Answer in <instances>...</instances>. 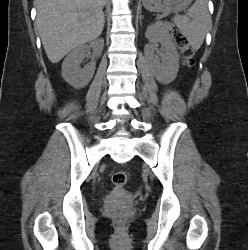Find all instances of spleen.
Here are the masks:
<instances>
[{"label":"spleen","mask_w":248,"mask_h":250,"mask_svg":"<svg viewBox=\"0 0 248 250\" xmlns=\"http://www.w3.org/2000/svg\"><path fill=\"white\" fill-rule=\"evenodd\" d=\"M174 24L185 36L194 50L203 44L206 33L211 26V17L207 8V0H196L187 10L186 15H176Z\"/></svg>","instance_id":"spleen-1"}]
</instances>
